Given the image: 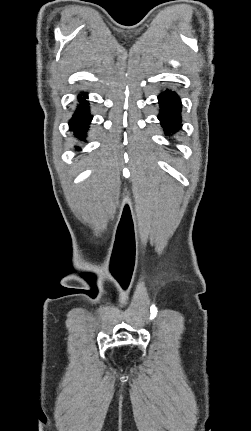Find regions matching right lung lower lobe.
<instances>
[{
	"mask_svg": "<svg viewBox=\"0 0 251 431\" xmlns=\"http://www.w3.org/2000/svg\"><path fill=\"white\" fill-rule=\"evenodd\" d=\"M87 98L86 93H82V96H78L79 105L69 121L70 131L80 140H84L86 136L87 129L92 120V116L89 112V103L85 100ZM80 150L79 147H76Z\"/></svg>",
	"mask_w": 251,
	"mask_h": 431,
	"instance_id": "obj_1",
	"label": "right lung lower lobe"
}]
</instances>
